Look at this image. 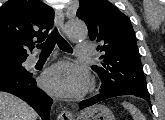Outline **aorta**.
Here are the masks:
<instances>
[{
  "mask_svg": "<svg viewBox=\"0 0 165 120\" xmlns=\"http://www.w3.org/2000/svg\"><path fill=\"white\" fill-rule=\"evenodd\" d=\"M65 32L73 40L83 39L88 34L85 23L79 19L69 20L65 25Z\"/></svg>",
  "mask_w": 165,
  "mask_h": 120,
  "instance_id": "762f6f07",
  "label": "aorta"
}]
</instances>
